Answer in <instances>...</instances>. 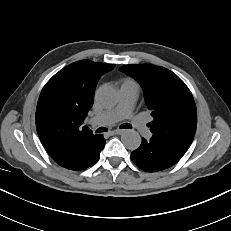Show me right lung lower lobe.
Returning <instances> with one entry per match:
<instances>
[{"label":"right lung lower lobe","instance_id":"obj_1","mask_svg":"<svg viewBox=\"0 0 231 231\" xmlns=\"http://www.w3.org/2000/svg\"><path fill=\"white\" fill-rule=\"evenodd\" d=\"M104 145L103 135H92L66 145L57 155L51 157L69 170H85L99 160Z\"/></svg>","mask_w":231,"mask_h":231}]
</instances>
